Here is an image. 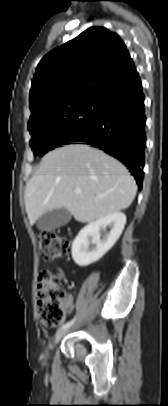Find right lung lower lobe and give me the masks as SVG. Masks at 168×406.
Returning a JSON list of instances; mask_svg holds the SVG:
<instances>
[{
    "mask_svg": "<svg viewBox=\"0 0 168 406\" xmlns=\"http://www.w3.org/2000/svg\"><path fill=\"white\" fill-rule=\"evenodd\" d=\"M100 101L96 122L69 142H83L118 159L129 168L141 189L146 117L140 78L107 93Z\"/></svg>",
    "mask_w": 168,
    "mask_h": 406,
    "instance_id": "obj_1",
    "label": "right lung lower lobe"
}]
</instances>
